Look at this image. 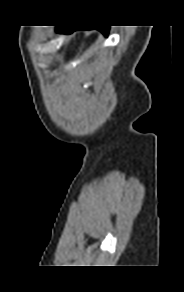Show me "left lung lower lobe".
Returning <instances> with one entry per match:
<instances>
[{"instance_id":"obj_1","label":"left lung lower lobe","mask_w":184,"mask_h":292,"mask_svg":"<svg viewBox=\"0 0 184 292\" xmlns=\"http://www.w3.org/2000/svg\"><path fill=\"white\" fill-rule=\"evenodd\" d=\"M92 28H95L99 31H101L103 34L107 35L108 34V31H109V26H89V27H86V26H64V27H59L58 28V31L59 32H65V33H71L75 30H81V29H84V30H88V29H92Z\"/></svg>"}]
</instances>
